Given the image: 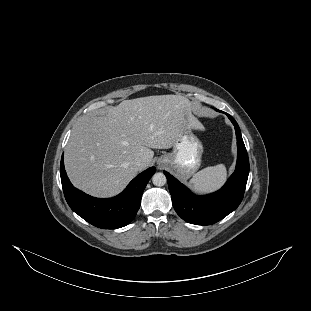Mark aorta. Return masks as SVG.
<instances>
[{
  "instance_id": "obj_1",
  "label": "aorta",
  "mask_w": 311,
  "mask_h": 311,
  "mask_svg": "<svg viewBox=\"0 0 311 311\" xmlns=\"http://www.w3.org/2000/svg\"><path fill=\"white\" fill-rule=\"evenodd\" d=\"M167 182V178L164 173L157 172L152 176V183L155 186L161 187L164 186Z\"/></svg>"
}]
</instances>
